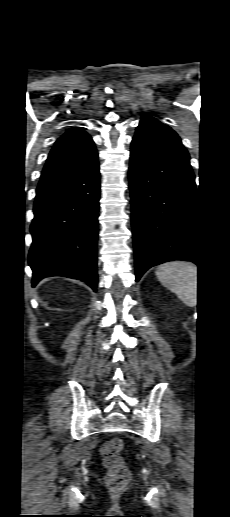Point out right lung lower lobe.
<instances>
[{
  "mask_svg": "<svg viewBox=\"0 0 230 517\" xmlns=\"http://www.w3.org/2000/svg\"><path fill=\"white\" fill-rule=\"evenodd\" d=\"M98 162L67 179L36 190L29 265L35 286L44 277L64 276L97 289Z\"/></svg>",
  "mask_w": 230,
  "mask_h": 517,
  "instance_id": "obj_1",
  "label": "right lung lower lobe"
}]
</instances>
